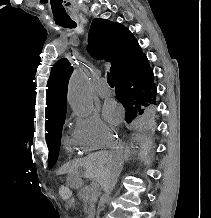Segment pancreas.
<instances>
[{
  "mask_svg": "<svg viewBox=\"0 0 211 218\" xmlns=\"http://www.w3.org/2000/svg\"><path fill=\"white\" fill-rule=\"evenodd\" d=\"M83 189L80 191L81 200H86V205H97V200H94L98 196L95 186H84Z\"/></svg>",
  "mask_w": 211,
  "mask_h": 218,
  "instance_id": "obj_1",
  "label": "pancreas"
}]
</instances>
